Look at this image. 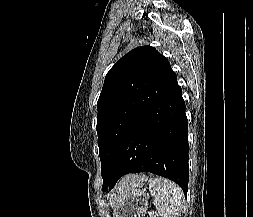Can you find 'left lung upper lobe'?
Wrapping results in <instances>:
<instances>
[{"mask_svg":"<svg viewBox=\"0 0 253 217\" xmlns=\"http://www.w3.org/2000/svg\"><path fill=\"white\" fill-rule=\"evenodd\" d=\"M176 82L168 60L151 46L131 50L109 70L97 102L103 186L112 174L118 147L130 126Z\"/></svg>","mask_w":253,"mask_h":217,"instance_id":"obj_1","label":"left lung upper lobe"}]
</instances>
